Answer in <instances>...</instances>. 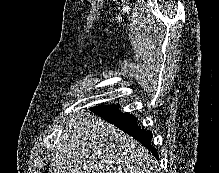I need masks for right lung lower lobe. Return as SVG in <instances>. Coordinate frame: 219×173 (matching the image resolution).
<instances>
[{"mask_svg":"<svg viewBox=\"0 0 219 173\" xmlns=\"http://www.w3.org/2000/svg\"><path fill=\"white\" fill-rule=\"evenodd\" d=\"M96 114L103 117L109 123L115 124L118 128L131 135L134 139L142 143L152 154L158 158L157 150L151 146L152 133L145 131L137 126V118L129 113H124L119 110L116 105H100L94 107Z\"/></svg>","mask_w":219,"mask_h":173,"instance_id":"98d812e1","label":"right lung lower lobe"}]
</instances>
